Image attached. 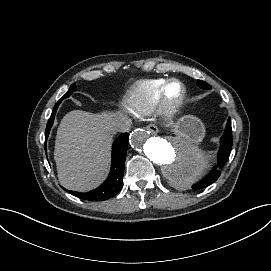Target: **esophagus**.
<instances>
[{
    "label": "esophagus",
    "instance_id": "1",
    "mask_svg": "<svg viewBox=\"0 0 271 271\" xmlns=\"http://www.w3.org/2000/svg\"><path fill=\"white\" fill-rule=\"evenodd\" d=\"M146 129L152 133L153 135L157 134L159 132L158 127L154 124L147 125Z\"/></svg>",
    "mask_w": 271,
    "mask_h": 271
}]
</instances>
